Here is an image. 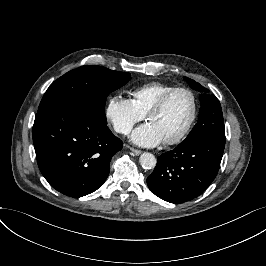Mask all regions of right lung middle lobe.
Listing matches in <instances>:
<instances>
[{
	"label": "right lung middle lobe",
	"mask_w": 266,
	"mask_h": 266,
	"mask_svg": "<svg viewBox=\"0 0 266 266\" xmlns=\"http://www.w3.org/2000/svg\"><path fill=\"white\" fill-rule=\"evenodd\" d=\"M130 80V73L112 71L102 66H81L54 81L47 89L38 112L60 103L71 102L89 108L107 124L105 103L109 93Z\"/></svg>",
	"instance_id": "dd1d6c3e"
}]
</instances>
